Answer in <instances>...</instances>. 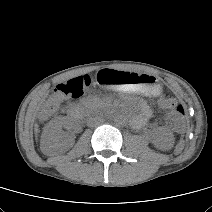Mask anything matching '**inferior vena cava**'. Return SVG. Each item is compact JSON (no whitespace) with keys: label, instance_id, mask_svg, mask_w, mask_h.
I'll return each instance as SVG.
<instances>
[{"label":"inferior vena cava","instance_id":"inferior-vena-cava-1","mask_svg":"<svg viewBox=\"0 0 212 212\" xmlns=\"http://www.w3.org/2000/svg\"><path fill=\"white\" fill-rule=\"evenodd\" d=\"M101 122H102V119L100 117H90L87 121V125L90 127H93Z\"/></svg>","mask_w":212,"mask_h":212}]
</instances>
